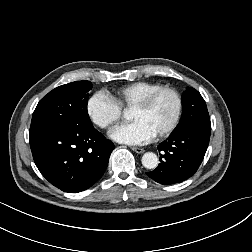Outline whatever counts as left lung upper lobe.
Segmentation results:
<instances>
[{"mask_svg":"<svg viewBox=\"0 0 252 252\" xmlns=\"http://www.w3.org/2000/svg\"><path fill=\"white\" fill-rule=\"evenodd\" d=\"M182 106L181 120L172 133H177L194 125L211 126L206 103L197 90L187 87L182 96Z\"/></svg>","mask_w":252,"mask_h":252,"instance_id":"1","label":"left lung upper lobe"}]
</instances>
